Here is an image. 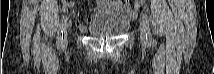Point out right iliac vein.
Listing matches in <instances>:
<instances>
[{
  "label": "right iliac vein",
  "instance_id": "1",
  "mask_svg": "<svg viewBox=\"0 0 214 74\" xmlns=\"http://www.w3.org/2000/svg\"><path fill=\"white\" fill-rule=\"evenodd\" d=\"M70 24H71L70 21H68V22H66V24L64 26V40L63 41H66V39H67V33H68Z\"/></svg>",
  "mask_w": 214,
  "mask_h": 74
}]
</instances>
